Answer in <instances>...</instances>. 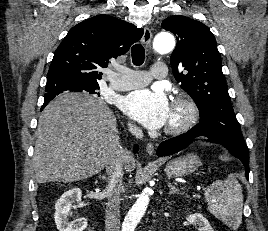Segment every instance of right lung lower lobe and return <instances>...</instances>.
<instances>
[{
  "instance_id": "obj_1",
  "label": "right lung lower lobe",
  "mask_w": 268,
  "mask_h": 231,
  "mask_svg": "<svg viewBox=\"0 0 268 231\" xmlns=\"http://www.w3.org/2000/svg\"><path fill=\"white\" fill-rule=\"evenodd\" d=\"M46 105H47V104H46ZM46 105H43L42 108H41V110H42ZM137 150H138V146L135 145V146H134V151L136 152Z\"/></svg>"
}]
</instances>
